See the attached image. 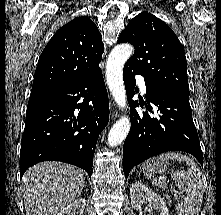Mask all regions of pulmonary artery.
Returning <instances> with one entry per match:
<instances>
[{"mask_svg": "<svg viewBox=\"0 0 221 215\" xmlns=\"http://www.w3.org/2000/svg\"><path fill=\"white\" fill-rule=\"evenodd\" d=\"M138 84L142 93H146V85L142 77H138Z\"/></svg>", "mask_w": 221, "mask_h": 215, "instance_id": "e3ab8cb5", "label": "pulmonary artery"}]
</instances>
